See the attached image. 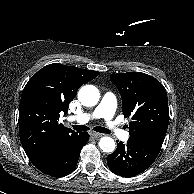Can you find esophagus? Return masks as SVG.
I'll list each match as a JSON object with an SVG mask.
<instances>
[{"instance_id": "1", "label": "esophagus", "mask_w": 194, "mask_h": 194, "mask_svg": "<svg viewBox=\"0 0 194 194\" xmlns=\"http://www.w3.org/2000/svg\"><path fill=\"white\" fill-rule=\"evenodd\" d=\"M91 136H92L93 138H100V137L103 136V134L97 133V132H92V133H91Z\"/></svg>"}]
</instances>
